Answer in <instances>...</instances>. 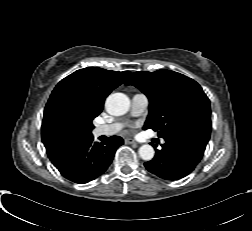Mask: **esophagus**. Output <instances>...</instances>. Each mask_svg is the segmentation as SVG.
<instances>
[{"label": "esophagus", "instance_id": "esophagus-1", "mask_svg": "<svg viewBox=\"0 0 252 231\" xmlns=\"http://www.w3.org/2000/svg\"><path fill=\"white\" fill-rule=\"evenodd\" d=\"M125 143L129 145H137V143L133 139H125Z\"/></svg>", "mask_w": 252, "mask_h": 231}]
</instances>
